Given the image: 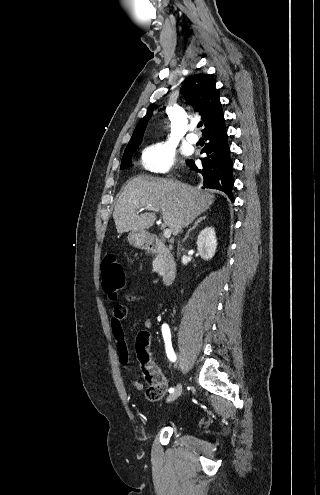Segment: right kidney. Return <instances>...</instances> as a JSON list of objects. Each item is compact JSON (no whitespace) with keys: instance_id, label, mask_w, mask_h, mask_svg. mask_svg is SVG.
Returning <instances> with one entry per match:
<instances>
[{"instance_id":"right-kidney-1","label":"right kidney","mask_w":320,"mask_h":495,"mask_svg":"<svg viewBox=\"0 0 320 495\" xmlns=\"http://www.w3.org/2000/svg\"><path fill=\"white\" fill-rule=\"evenodd\" d=\"M216 248H217V239L214 228L206 227L198 235L197 249L199 255L204 260H210L214 256L216 252Z\"/></svg>"}]
</instances>
